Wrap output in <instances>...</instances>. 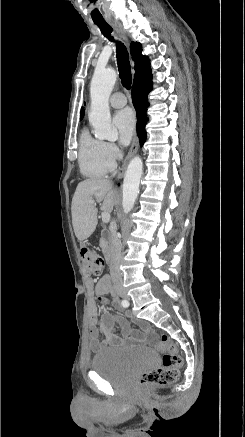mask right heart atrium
Segmentation results:
<instances>
[{
  "label": "right heart atrium",
  "mask_w": 245,
  "mask_h": 437,
  "mask_svg": "<svg viewBox=\"0 0 245 437\" xmlns=\"http://www.w3.org/2000/svg\"><path fill=\"white\" fill-rule=\"evenodd\" d=\"M104 159L110 169H114L121 156L120 148L112 142H103Z\"/></svg>",
  "instance_id": "obj_1"
}]
</instances>
